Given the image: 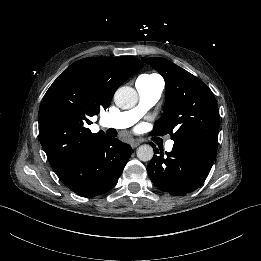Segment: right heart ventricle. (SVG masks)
I'll use <instances>...</instances> for the list:
<instances>
[{"mask_svg": "<svg viewBox=\"0 0 261 261\" xmlns=\"http://www.w3.org/2000/svg\"><path fill=\"white\" fill-rule=\"evenodd\" d=\"M156 81H163L162 77L156 73H143L139 75L136 80V84L138 83H153Z\"/></svg>", "mask_w": 261, "mask_h": 261, "instance_id": "right-heart-ventricle-1", "label": "right heart ventricle"}]
</instances>
